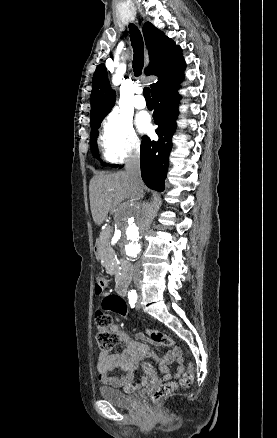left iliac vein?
Here are the masks:
<instances>
[{
    "label": "left iliac vein",
    "instance_id": "left-iliac-vein-1",
    "mask_svg": "<svg viewBox=\"0 0 277 438\" xmlns=\"http://www.w3.org/2000/svg\"><path fill=\"white\" fill-rule=\"evenodd\" d=\"M140 307H141V305H140V299H139L138 302H137L136 308L140 309Z\"/></svg>",
    "mask_w": 277,
    "mask_h": 438
}]
</instances>
